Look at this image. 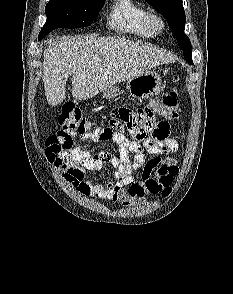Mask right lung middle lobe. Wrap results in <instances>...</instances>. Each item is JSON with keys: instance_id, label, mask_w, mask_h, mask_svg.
Segmentation results:
<instances>
[{"instance_id": "1", "label": "right lung middle lobe", "mask_w": 233, "mask_h": 294, "mask_svg": "<svg viewBox=\"0 0 233 294\" xmlns=\"http://www.w3.org/2000/svg\"><path fill=\"white\" fill-rule=\"evenodd\" d=\"M104 3L105 0H50L45 7L47 21L38 40L57 28L91 25Z\"/></svg>"}]
</instances>
